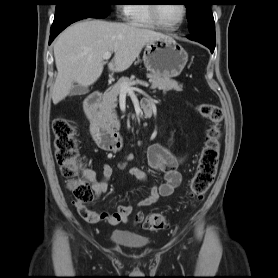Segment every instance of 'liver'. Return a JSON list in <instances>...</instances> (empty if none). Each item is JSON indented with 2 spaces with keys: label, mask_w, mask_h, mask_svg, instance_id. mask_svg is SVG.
I'll return each mask as SVG.
<instances>
[{
  "label": "liver",
  "mask_w": 278,
  "mask_h": 278,
  "mask_svg": "<svg viewBox=\"0 0 278 278\" xmlns=\"http://www.w3.org/2000/svg\"><path fill=\"white\" fill-rule=\"evenodd\" d=\"M166 36L133 24L85 20L68 27L54 44L57 77L52 89L56 105L73 88V83L83 87L94 84L104 68L103 54L114 52L108 64L110 71L128 69L143 47Z\"/></svg>",
  "instance_id": "1"
}]
</instances>
